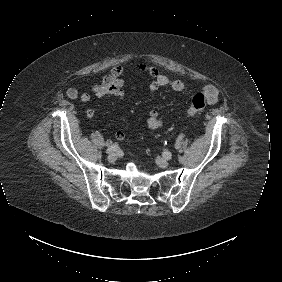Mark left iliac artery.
Segmentation results:
<instances>
[{
  "label": "left iliac artery",
  "instance_id": "1",
  "mask_svg": "<svg viewBox=\"0 0 282 282\" xmlns=\"http://www.w3.org/2000/svg\"><path fill=\"white\" fill-rule=\"evenodd\" d=\"M163 156H164L165 158H167V159H170V158H171V153L166 150V151L163 152Z\"/></svg>",
  "mask_w": 282,
  "mask_h": 282
}]
</instances>
